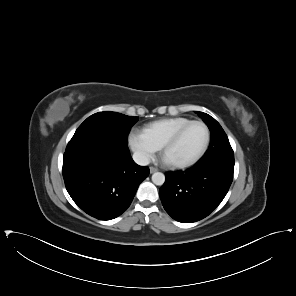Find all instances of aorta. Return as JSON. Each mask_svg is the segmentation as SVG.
<instances>
[{
	"label": "aorta",
	"instance_id": "1",
	"mask_svg": "<svg viewBox=\"0 0 296 296\" xmlns=\"http://www.w3.org/2000/svg\"><path fill=\"white\" fill-rule=\"evenodd\" d=\"M152 182L155 184V185H158V186H161L164 184L165 182V175L161 172H155L153 175H152Z\"/></svg>",
	"mask_w": 296,
	"mask_h": 296
}]
</instances>
